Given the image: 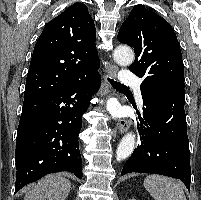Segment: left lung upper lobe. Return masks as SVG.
I'll use <instances>...</instances> for the list:
<instances>
[{"instance_id": "5c2ea615", "label": "left lung upper lobe", "mask_w": 201, "mask_h": 200, "mask_svg": "<svg viewBox=\"0 0 201 200\" xmlns=\"http://www.w3.org/2000/svg\"><path fill=\"white\" fill-rule=\"evenodd\" d=\"M118 41L134 49L131 72L143 78L141 92L165 86L184 88V65L171 25L144 5H136L118 33Z\"/></svg>"}]
</instances>
